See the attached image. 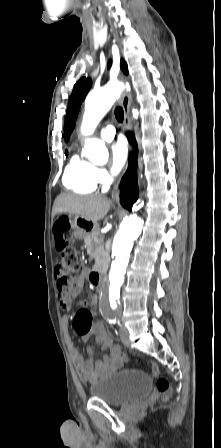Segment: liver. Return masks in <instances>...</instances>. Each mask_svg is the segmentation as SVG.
I'll use <instances>...</instances> for the list:
<instances>
[{
    "label": "liver",
    "instance_id": "1",
    "mask_svg": "<svg viewBox=\"0 0 221 448\" xmlns=\"http://www.w3.org/2000/svg\"><path fill=\"white\" fill-rule=\"evenodd\" d=\"M111 201L103 196H77L73 194H60L53 206V215L69 213L97 223L109 211Z\"/></svg>",
    "mask_w": 221,
    "mask_h": 448
}]
</instances>
